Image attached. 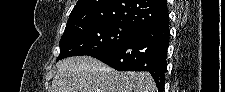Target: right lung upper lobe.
<instances>
[{"instance_id": "cb5924a9", "label": "right lung upper lobe", "mask_w": 225, "mask_h": 92, "mask_svg": "<svg viewBox=\"0 0 225 92\" xmlns=\"http://www.w3.org/2000/svg\"><path fill=\"white\" fill-rule=\"evenodd\" d=\"M120 22L139 30L169 22L166 0H78L65 29L86 23Z\"/></svg>"}]
</instances>
